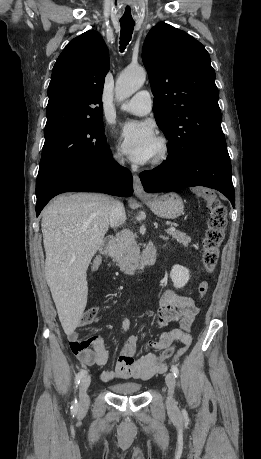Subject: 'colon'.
I'll return each instance as SVG.
<instances>
[{
  "label": "colon",
  "instance_id": "1",
  "mask_svg": "<svg viewBox=\"0 0 261 459\" xmlns=\"http://www.w3.org/2000/svg\"><path fill=\"white\" fill-rule=\"evenodd\" d=\"M199 196L206 202L209 210L208 228L203 240L202 262L207 273H212L219 259L220 246L224 240L225 230L227 227V213L224 205L217 199L216 195L208 190L199 192ZM209 290L207 281L199 284L198 293L202 298ZM98 314L96 307L87 309L81 318L83 325H88L94 321ZM176 349V345L168 346L160 355L157 363L160 364L165 359L170 358Z\"/></svg>",
  "mask_w": 261,
  "mask_h": 459
}]
</instances>
